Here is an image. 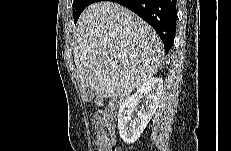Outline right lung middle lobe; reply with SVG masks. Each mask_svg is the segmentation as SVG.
I'll return each mask as SVG.
<instances>
[{
  "label": "right lung middle lobe",
  "instance_id": "right-lung-middle-lobe-1",
  "mask_svg": "<svg viewBox=\"0 0 231 151\" xmlns=\"http://www.w3.org/2000/svg\"><path fill=\"white\" fill-rule=\"evenodd\" d=\"M95 0H74L73 4V17L76 23L82 11Z\"/></svg>",
  "mask_w": 231,
  "mask_h": 151
}]
</instances>
